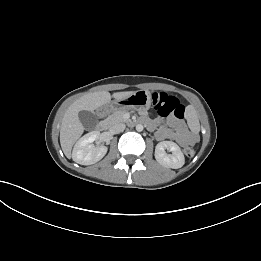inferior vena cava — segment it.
I'll return each mask as SVG.
<instances>
[{"instance_id": "1", "label": "inferior vena cava", "mask_w": 261, "mask_h": 261, "mask_svg": "<svg viewBox=\"0 0 261 261\" xmlns=\"http://www.w3.org/2000/svg\"><path fill=\"white\" fill-rule=\"evenodd\" d=\"M125 128H126V125L124 123H116V124L112 125L109 130L112 134H117V133L124 131Z\"/></svg>"}]
</instances>
